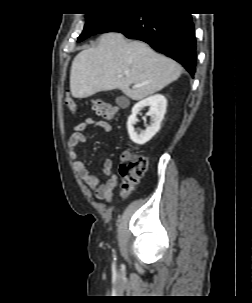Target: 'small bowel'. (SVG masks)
Here are the masks:
<instances>
[{
  "mask_svg": "<svg viewBox=\"0 0 252 303\" xmlns=\"http://www.w3.org/2000/svg\"><path fill=\"white\" fill-rule=\"evenodd\" d=\"M91 126H96L103 132L112 130L110 123L105 120H96L90 117L83 119L74 126L68 143V154L73 161V169L84 184L94 192L97 199L108 201L118 185V176L113 172L112 160L105 159L103 161L102 174L107 177L104 182H100L99 178L91 173L82 161L78 160V148L85 142L83 132Z\"/></svg>",
  "mask_w": 252,
  "mask_h": 303,
  "instance_id": "c3829d8e",
  "label": "small bowel"
}]
</instances>
